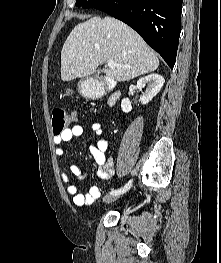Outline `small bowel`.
Returning a JSON list of instances; mask_svg holds the SVG:
<instances>
[{
    "label": "small bowel",
    "instance_id": "small-bowel-1",
    "mask_svg": "<svg viewBox=\"0 0 221 263\" xmlns=\"http://www.w3.org/2000/svg\"><path fill=\"white\" fill-rule=\"evenodd\" d=\"M91 131L95 136L99 137L96 143L89 144L90 153L98 165L97 176L101 179H111L115 175V170L112 159L106 157L108 142L102 137V124L93 123L91 125ZM82 134L83 127L81 125H74L67 128L61 135L54 136L53 142L56 145L54 150L56 157L64 159L66 152L62 145L71 141L73 138L80 137ZM70 172L79 179H84L87 176V173L78 164L71 165ZM60 177L66 184V192L72 196L73 203L76 206L82 207L91 205L100 197V188L97 185H91L87 192L81 193L78 191L77 186L71 182L70 174L67 171H62Z\"/></svg>",
    "mask_w": 221,
    "mask_h": 263
}]
</instances>
